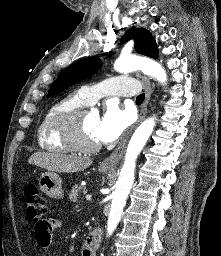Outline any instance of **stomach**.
Segmentation results:
<instances>
[{"label": "stomach", "instance_id": "stomach-1", "mask_svg": "<svg viewBox=\"0 0 221 256\" xmlns=\"http://www.w3.org/2000/svg\"><path fill=\"white\" fill-rule=\"evenodd\" d=\"M108 168H100V171H108ZM40 190L50 198L59 199L63 196L62 180L54 172H45L39 178Z\"/></svg>", "mask_w": 221, "mask_h": 256}]
</instances>
